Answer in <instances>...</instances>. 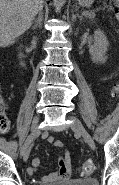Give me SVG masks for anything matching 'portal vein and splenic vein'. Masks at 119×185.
I'll use <instances>...</instances> for the list:
<instances>
[{
    "mask_svg": "<svg viewBox=\"0 0 119 185\" xmlns=\"http://www.w3.org/2000/svg\"><path fill=\"white\" fill-rule=\"evenodd\" d=\"M89 13H91V12H89V11H84L82 14H83L84 16H86V15H88Z\"/></svg>",
    "mask_w": 119,
    "mask_h": 185,
    "instance_id": "obj_1",
    "label": "portal vein and splenic vein"
}]
</instances>
